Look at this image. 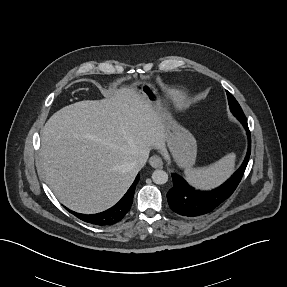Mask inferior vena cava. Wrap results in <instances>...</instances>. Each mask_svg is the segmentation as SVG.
Returning <instances> with one entry per match:
<instances>
[{
  "instance_id": "obj_1",
  "label": "inferior vena cava",
  "mask_w": 287,
  "mask_h": 287,
  "mask_svg": "<svg viewBox=\"0 0 287 287\" xmlns=\"http://www.w3.org/2000/svg\"><path fill=\"white\" fill-rule=\"evenodd\" d=\"M149 152H142L139 154L135 160L131 163L133 169L139 171L146 163L148 159Z\"/></svg>"
}]
</instances>
